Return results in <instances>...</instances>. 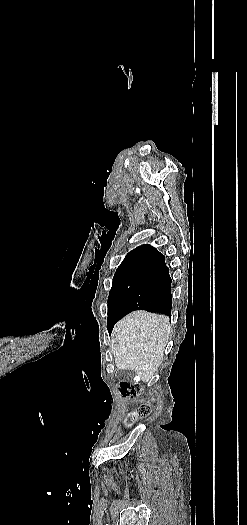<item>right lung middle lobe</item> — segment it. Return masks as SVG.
I'll use <instances>...</instances> for the list:
<instances>
[{
  "mask_svg": "<svg viewBox=\"0 0 247 525\" xmlns=\"http://www.w3.org/2000/svg\"><path fill=\"white\" fill-rule=\"evenodd\" d=\"M155 259L156 257L152 258L147 264L138 268L116 271L108 297L107 327L114 325L118 320L123 302L134 289L137 282L149 270Z\"/></svg>",
  "mask_w": 247,
  "mask_h": 525,
  "instance_id": "1",
  "label": "right lung middle lobe"
}]
</instances>
